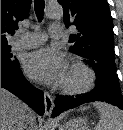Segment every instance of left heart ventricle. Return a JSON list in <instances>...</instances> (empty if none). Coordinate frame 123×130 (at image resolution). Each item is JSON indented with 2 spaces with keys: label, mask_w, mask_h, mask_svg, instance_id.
<instances>
[{
  "label": "left heart ventricle",
  "mask_w": 123,
  "mask_h": 130,
  "mask_svg": "<svg viewBox=\"0 0 123 130\" xmlns=\"http://www.w3.org/2000/svg\"><path fill=\"white\" fill-rule=\"evenodd\" d=\"M84 80V74L78 70L67 69V72L62 80L67 84H78Z\"/></svg>",
  "instance_id": "obj_1"
}]
</instances>
